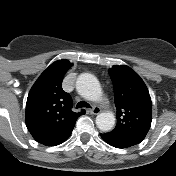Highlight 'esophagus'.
Here are the masks:
<instances>
[{"mask_svg": "<svg viewBox=\"0 0 176 176\" xmlns=\"http://www.w3.org/2000/svg\"><path fill=\"white\" fill-rule=\"evenodd\" d=\"M100 111H101L100 108H98V107H96V106H92L91 109H88V110H87V113L96 115V114H98Z\"/></svg>", "mask_w": 176, "mask_h": 176, "instance_id": "34e87169", "label": "esophagus"}]
</instances>
